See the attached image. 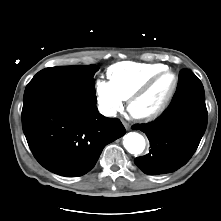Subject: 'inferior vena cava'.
Masks as SVG:
<instances>
[{
	"label": "inferior vena cava",
	"instance_id": "obj_1",
	"mask_svg": "<svg viewBox=\"0 0 221 221\" xmlns=\"http://www.w3.org/2000/svg\"><path fill=\"white\" fill-rule=\"evenodd\" d=\"M101 113L105 116H115L116 111L110 108H103L101 109Z\"/></svg>",
	"mask_w": 221,
	"mask_h": 221
}]
</instances>
